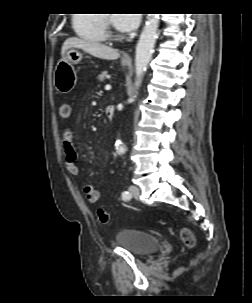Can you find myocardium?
<instances>
[{
  "label": "myocardium",
  "mask_w": 252,
  "mask_h": 303,
  "mask_svg": "<svg viewBox=\"0 0 252 303\" xmlns=\"http://www.w3.org/2000/svg\"><path fill=\"white\" fill-rule=\"evenodd\" d=\"M105 34L109 37L117 36L115 29L113 28L107 14H103Z\"/></svg>",
  "instance_id": "myocardium-1"
}]
</instances>
